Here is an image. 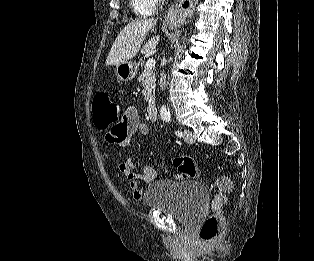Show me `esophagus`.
<instances>
[{"label": "esophagus", "mask_w": 314, "mask_h": 261, "mask_svg": "<svg viewBox=\"0 0 314 261\" xmlns=\"http://www.w3.org/2000/svg\"><path fill=\"white\" fill-rule=\"evenodd\" d=\"M176 13H177V10H171L167 13V15L169 16V15L176 14Z\"/></svg>", "instance_id": "34e87169"}]
</instances>
